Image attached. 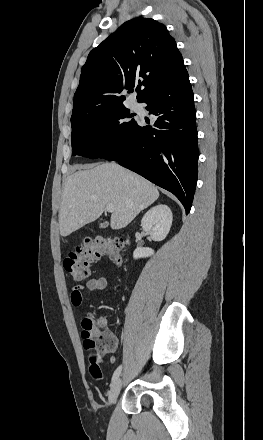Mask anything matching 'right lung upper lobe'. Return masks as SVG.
I'll list each match as a JSON object with an SVG mask.
<instances>
[{"label": "right lung upper lobe", "instance_id": "1", "mask_svg": "<svg viewBox=\"0 0 263 440\" xmlns=\"http://www.w3.org/2000/svg\"><path fill=\"white\" fill-rule=\"evenodd\" d=\"M185 69L165 25L135 18L94 48L81 69L71 121L89 112L123 105L122 91L136 86L140 102L148 93Z\"/></svg>", "mask_w": 263, "mask_h": 440}]
</instances>
